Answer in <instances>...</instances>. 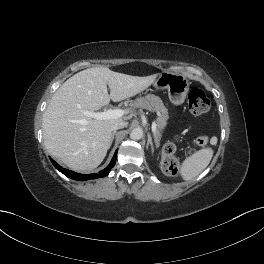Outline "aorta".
Returning a JSON list of instances; mask_svg holds the SVG:
<instances>
[{"label": "aorta", "instance_id": "762f6f07", "mask_svg": "<svg viewBox=\"0 0 264 264\" xmlns=\"http://www.w3.org/2000/svg\"><path fill=\"white\" fill-rule=\"evenodd\" d=\"M143 136V131L141 128H135L130 133V138L133 140H140Z\"/></svg>", "mask_w": 264, "mask_h": 264}]
</instances>
